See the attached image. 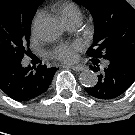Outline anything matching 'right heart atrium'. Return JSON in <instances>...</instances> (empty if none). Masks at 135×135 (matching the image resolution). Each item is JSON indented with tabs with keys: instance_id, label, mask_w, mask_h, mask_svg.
Segmentation results:
<instances>
[{
	"instance_id": "obj_1",
	"label": "right heart atrium",
	"mask_w": 135,
	"mask_h": 135,
	"mask_svg": "<svg viewBox=\"0 0 135 135\" xmlns=\"http://www.w3.org/2000/svg\"><path fill=\"white\" fill-rule=\"evenodd\" d=\"M43 16H44L43 11H38L36 13V15L34 16V19L32 21V26H31V30H32L33 34L37 33V29H38L39 23L42 20Z\"/></svg>"
}]
</instances>
